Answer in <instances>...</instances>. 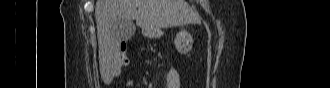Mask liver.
Masks as SVG:
<instances>
[{
    "mask_svg": "<svg viewBox=\"0 0 330 88\" xmlns=\"http://www.w3.org/2000/svg\"><path fill=\"white\" fill-rule=\"evenodd\" d=\"M99 67L104 83L114 76L119 44L115 25L136 20L144 35L160 28L196 21V15L185 0H98L95 5Z\"/></svg>",
    "mask_w": 330,
    "mask_h": 88,
    "instance_id": "6515ba94",
    "label": "liver"
}]
</instances>
